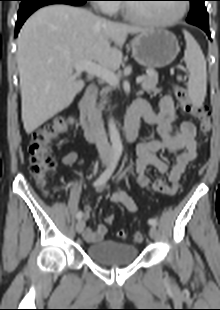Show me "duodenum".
<instances>
[{
    "label": "duodenum",
    "mask_w": 220,
    "mask_h": 310,
    "mask_svg": "<svg viewBox=\"0 0 220 310\" xmlns=\"http://www.w3.org/2000/svg\"><path fill=\"white\" fill-rule=\"evenodd\" d=\"M97 93L98 88L96 86H89L79 102L80 123L89 140L95 138L99 126L98 118L94 112V101ZM140 116L141 114L136 110L132 108L128 110L126 126L123 130V136L127 142L135 140L138 132Z\"/></svg>",
    "instance_id": "obj_1"
}]
</instances>
